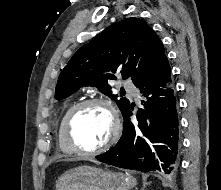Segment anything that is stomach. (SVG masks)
Instances as JSON below:
<instances>
[{"label": "stomach", "mask_w": 221, "mask_h": 190, "mask_svg": "<svg viewBox=\"0 0 221 190\" xmlns=\"http://www.w3.org/2000/svg\"><path fill=\"white\" fill-rule=\"evenodd\" d=\"M136 179L130 175L91 166H79L63 173L56 190H130Z\"/></svg>", "instance_id": "obj_1"}]
</instances>
